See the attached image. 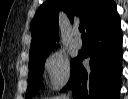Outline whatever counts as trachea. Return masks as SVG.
I'll return each instance as SVG.
<instances>
[{"instance_id": "3493384b", "label": "trachea", "mask_w": 128, "mask_h": 99, "mask_svg": "<svg viewBox=\"0 0 128 99\" xmlns=\"http://www.w3.org/2000/svg\"><path fill=\"white\" fill-rule=\"evenodd\" d=\"M79 31L82 33V37H85V36H86L84 25H80V26H79Z\"/></svg>"}]
</instances>
